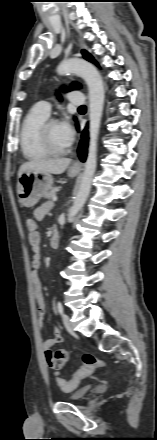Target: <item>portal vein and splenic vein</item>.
<instances>
[{
  "label": "portal vein and splenic vein",
  "mask_w": 157,
  "mask_h": 440,
  "mask_svg": "<svg viewBox=\"0 0 157 440\" xmlns=\"http://www.w3.org/2000/svg\"><path fill=\"white\" fill-rule=\"evenodd\" d=\"M52 201H54V202L57 201V197L53 196Z\"/></svg>",
  "instance_id": "obj_1"
}]
</instances>
